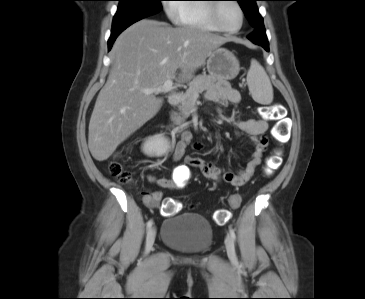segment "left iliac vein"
Segmentation results:
<instances>
[{"instance_id":"obj_1","label":"left iliac vein","mask_w":365,"mask_h":299,"mask_svg":"<svg viewBox=\"0 0 365 299\" xmlns=\"http://www.w3.org/2000/svg\"><path fill=\"white\" fill-rule=\"evenodd\" d=\"M225 245H226L227 255H228V258L230 259V261L233 264L237 263L235 245H234V242H233V240L230 236L226 237Z\"/></svg>"}]
</instances>
